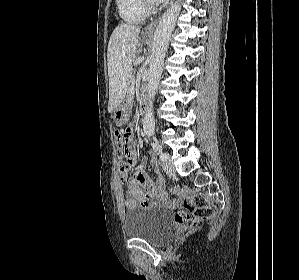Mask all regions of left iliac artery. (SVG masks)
<instances>
[{
    "label": "left iliac artery",
    "mask_w": 299,
    "mask_h": 280,
    "mask_svg": "<svg viewBox=\"0 0 299 280\" xmlns=\"http://www.w3.org/2000/svg\"><path fill=\"white\" fill-rule=\"evenodd\" d=\"M155 148L158 150L159 158L161 161H164L168 158V154L163 153L157 145L155 146Z\"/></svg>",
    "instance_id": "obj_1"
}]
</instances>
